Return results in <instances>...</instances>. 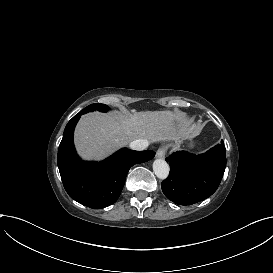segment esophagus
I'll list each match as a JSON object with an SVG mask.
<instances>
[{
    "label": "esophagus",
    "instance_id": "obj_1",
    "mask_svg": "<svg viewBox=\"0 0 273 273\" xmlns=\"http://www.w3.org/2000/svg\"><path fill=\"white\" fill-rule=\"evenodd\" d=\"M166 154V149L164 147H161L157 150L156 152V157L157 158H164Z\"/></svg>",
    "mask_w": 273,
    "mask_h": 273
}]
</instances>
